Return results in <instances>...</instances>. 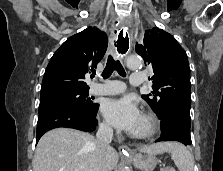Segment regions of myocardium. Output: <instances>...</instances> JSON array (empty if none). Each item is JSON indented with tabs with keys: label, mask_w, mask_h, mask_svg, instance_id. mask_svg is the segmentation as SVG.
I'll return each mask as SVG.
<instances>
[{
	"label": "myocardium",
	"mask_w": 223,
	"mask_h": 171,
	"mask_svg": "<svg viewBox=\"0 0 223 171\" xmlns=\"http://www.w3.org/2000/svg\"><path fill=\"white\" fill-rule=\"evenodd\" d=\"M141 117L146 124L145 131L140 133H133L131 136L135 139H148L153 137L159 129L158 119L151 113H144Z\"/></svg>",
	"instance_id": "f54148a6"
}]
</instances>
